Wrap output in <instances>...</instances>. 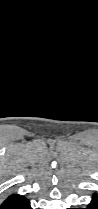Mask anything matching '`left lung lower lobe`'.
I'll return each mask as SVG.
<instances>
[{
    "label": "left lung lower lobe",
    "mask_w": 98,
    "mask_h": 209,
    "mask_svg": "<svg viewBox=\"0 0 98 209\" xmlns=\"http://www.w3.org/2000/svg\"><path fill=\"white\" fill-rule=\"evenodd\" d=\"M96 198H97V196L94 195L91 203L88 205V207L86 209H98V206H97L98 202H97Z\"/></svg>",
    "instance_id": "1"
}]
</instances>
